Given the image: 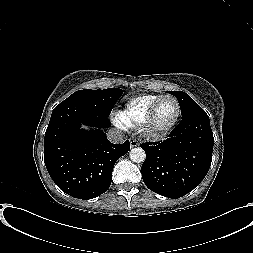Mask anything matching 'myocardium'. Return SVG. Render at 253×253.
Returning a JSON list of instances; mask_svg holds the SVG:
<instances>
[{
    "label": "myocardium",
    "instance_id": "1",
    "mask_svg": "<svg viewBox=\"0 0 253 253\" xmlns=\"http://www.w3.org/2000/svg\"><path fill=\"white\" fill-rule=\"evenodd\" d=\"M167 98L172 99L175 102L176 108H177L176 115L169 124H167L166 126H163V127H158L155 123L156 114H157V111H158V108H159L161 102ZM180 115H181V105H180L178 99L173 95H169V94L162 95L161 97H159L155 101V103L150 108V110L143 122L142 129L150 137H154V138L162 137V136L166 135L167 133H169L174 128V126L177 124V122L180 118Z\"/></svg>",
    "mask_w": 253,
    "mask_h": 253
}]
</instances>
